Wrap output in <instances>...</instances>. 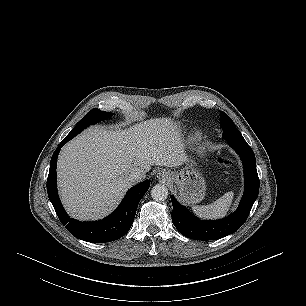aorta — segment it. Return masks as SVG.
Segmentation results:
<instances>
[{
	"mask_svg": "<svg viewBox=\"0 0 306 306\" xmlns=\"http://www.w3.org/2000/svg\"><path fill=\"white\" fill-rule=\"evenodd\" d=\"M151 196L155 201H163L168 197V189L162 184H156L151 190Z\"/></svg>",
	"mask_w": 306,
	"mask_h": 306,
	"instance_id": "obj_1",
	"label": "aorta"
}]
</instances>
